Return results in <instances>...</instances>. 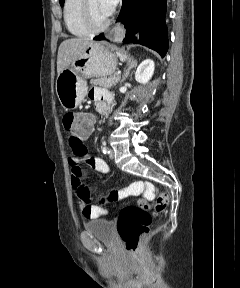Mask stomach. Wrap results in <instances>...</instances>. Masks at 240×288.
Returning a JSON list of instances; mask_svg holds the SVG:
<instances>
[{
	"instance_id": "obj_1",
	"label": "stomach",
	"mask_w": 240,
	"mask_h": 288,
	"mask_svg": "<svg viewBox=\"0 0 240 288\" xmlns=\"http://www.w3.org/2000/svg\"><path fill=\"white\" fill-rule=\"evenodd\" d=\"M116 55L102 42H93L56 80V94L64 109H74L88 93L87 78L112 75Z\"/></svg>"
}]
</instances>
